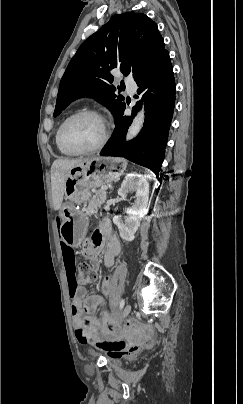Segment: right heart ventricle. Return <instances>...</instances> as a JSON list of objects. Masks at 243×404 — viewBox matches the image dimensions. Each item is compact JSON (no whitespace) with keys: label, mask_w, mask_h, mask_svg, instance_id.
<instances>
[{"label":"right heart ventricle","mask_w":243,"mask_h":404,"mask_svg":"<svg viewBox=\"0 0 243 404\" xmlns=\"http://www.w3.org/2000/svg\"><path fill=\"white\" fill-rule=\"evenodd\" d=\"M62 122H63V120H62ZM61 123L59 124V126L57 127V129L55 130V133H54V142H55L56 148L58 149L59 153L64 156H78L80 153L67 148L66 146H64L61 143L60 137H59V128H60Z\"/></svg>","instance_id":"1"}]
</instances>
